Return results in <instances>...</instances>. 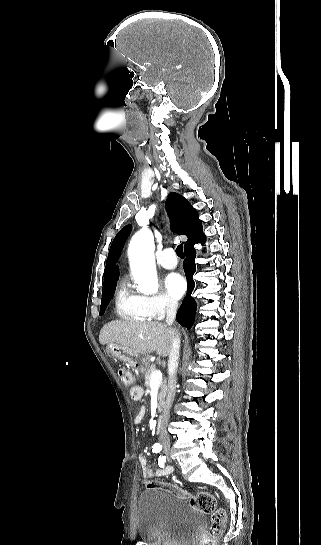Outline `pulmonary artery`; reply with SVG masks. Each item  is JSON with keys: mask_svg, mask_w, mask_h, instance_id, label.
I'll return each mask as SVG.
<instances>
[{"mask_svg": "<svg viewBox=\"0 0 321 545\" xmlns=\"http://www.w3.org/2000/svg\"><path fill=\"white\" fill-rule=\"evenodd\" d=\"M174 257V254L172 252V249L167 248L165 250H161L157 260L158 263L166 269H174L177 267L178 261L172 260Z\"/></svg>", "mask_w": 321, "mask_h": 545, "instance_id": "1", "label": "pulmonary artery"}]
</instances>
